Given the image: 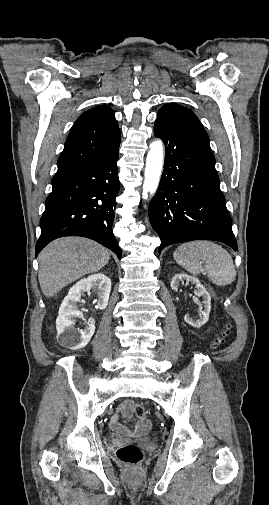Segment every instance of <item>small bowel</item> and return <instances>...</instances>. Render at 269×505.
Instances as JSON below:
<instances>
[{
	"mask_svg": "<svg viewBox=\"0 0 269 505\" xmlns=\"http://www.w3.org/2000/svg\"><path fill=\"white\" fill-rule=\"evenodd\" d=\"M133 406V401L127 399L119 406V412L126 416H130ZM110 426L116 433L128 436H139L145 434L150 429L151 423L148 419L143 417L139 419L134 429H129L120 423L118 414H115L110 420Z\"/></svg>",
	"mask_w": 269,
	"mask_h": 505,
	"instance_id": "small-bowel-1",
	"label": "small bowel"
}]
</instances>
